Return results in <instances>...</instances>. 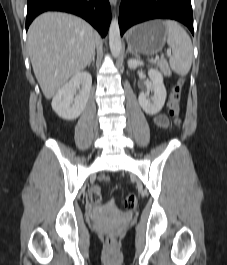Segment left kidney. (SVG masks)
<instances>
[{
	"mask_svg": "<svg viewBox=\"0 0 227 265\" xmlns=\"http://www.w3.org/2000/svg\"><path fill=\"white\" fill-rule=\"evenodd\" d=\"M141 65H143V62L138 59L128 60V67L130 69H136ZM148 76L153 83L152 91L154 95L153 97L149 98L145 92H141L138 100L140 106L147 114L155 115L163 108L167 93L163 83V76L159 71L155 69H149Z\"/></svg>",
	"mask_w": 227,
	"mask_h": 265,
	"instance_id": "obj_1",
	"label": "left kidney"
}]
</instances>
